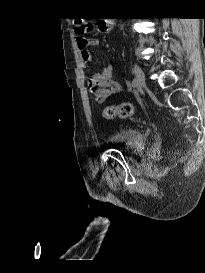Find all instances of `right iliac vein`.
Returning a JSON list of instances; mask_svg holds the SVG:
<instances>
[{"label":"right iliac vein","instance_id":"right-iliac-vein-1","mask_svg":"<svg viewBox=\"0 0 205 273\" xmlns=\"http://www.w3.org/2000/svg\"><path fill=\"white\" fill-rule=\"evenodd\" d=\"M134 72L137 86L139 88H145L146 87L145 75L142 69L137 64L134 65Z\"/></svg>","mask_w":205,"mask_h":273}]
</instances>
